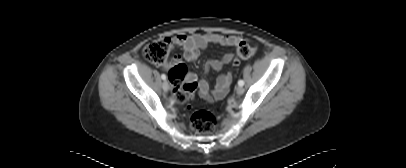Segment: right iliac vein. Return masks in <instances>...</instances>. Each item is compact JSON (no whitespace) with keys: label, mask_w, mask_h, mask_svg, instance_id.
I'll use <instances>...</instances> for the list:
<instances>
[{"label":"right iliac vein","mask_w":406,"mask_h":168,"mask_svg":"<svg viewBox=\"0 0 406 168\" xmlns=\"http://www.w3.org/2000/svg\"><path fill=\"white\" fill-rule=\"evenodd\" d=\"M162 88L164 92H168L169 90V84L167 80H164L163 84H162Z\"/></svg>","instance_id":"63e3f726"}]
</instances>
